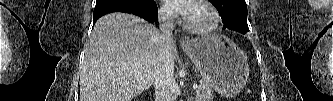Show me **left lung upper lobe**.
I'll return each instance as SVG.
<instances>
[{"label":"left lung upper lobe","mask_w":333,"mask_h":101,"mask_svg":"<svg viewBox=\"0 0 333 101\" xmlns=\"http://www.w3.org/2000/svg\"><path fill=\"white\" fill-rule=\"evenodd\" d=\"M218 10L228 29L240 32L247 25V6L241 0H209ZM225 29V28H224Z\"/></svg>","instance_id":"left-lung-upper-lobe-1"}]
</instances>
